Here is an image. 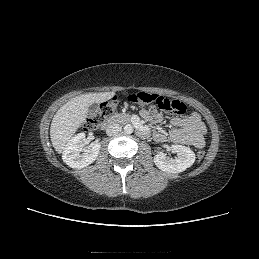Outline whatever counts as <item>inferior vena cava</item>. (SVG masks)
Segmentation results:
<instances>
[{
	"label": "inferior vena cava",
	"instance_id": "602c4592",
	"mask_svg": "<svg viewBox=\"0 0 259 259\" xmlns=\"http://www.w3.org/2000/svg\"><path fill=\"white\" fill-rule=\"evenodd\" d=\"M122 130V126L118 123H110L106 128V134L108 136L116 135Z\"/></svg>",
	"mask_w": 259,
	"mask_h": 259
}]
</instances>
